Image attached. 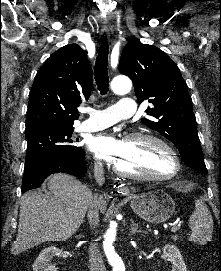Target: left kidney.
<instances>
[{
    "mask_svg": "<svg viewBox=\"0 0 221 271\" xmlns=\"http://www.w3.org/2000/svg\"><path fill=\"white\" fill-rule=\"evenodd\" d=\"M162 249L165 257L172 263L170 271H187L186 263L176 245L165 243Z\"/></svg>",
    "mask_w": 221,
    "mask_h": 271,
    "instance_id": "5707ae66",
    "label": "left kidney"
}]
</instances>
